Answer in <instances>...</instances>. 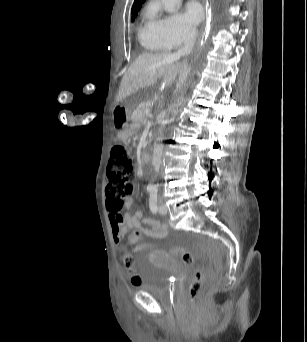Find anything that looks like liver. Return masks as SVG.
<instances>
[{"mask_svg":"<svg viewBox=\"0 0 307 342\" xmlns=\"http://www.w3.org/2000/svg\"><path fill=\"white\" fill-rule=\"evenodd\" d=\"M171 56L173 54H170V52H163V54L145 52V54H140L125 72L120 82L116 102H121L127 96L142 90V88H149L152 84H156L162 76L165 84H172L184 64L176 62Z\"/></svg>","mask_w":307,"mask_h":342,"instance_id":"6515ba94","label":"liver"}]
</instances>
